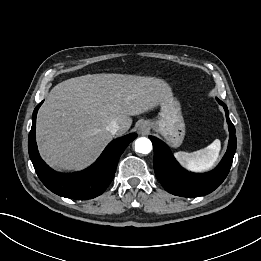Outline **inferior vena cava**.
Returning <instances> with one entry per match:
<instances>
[{
    "mask_svg": "<svg viewBox=\"0 0 261 261\" xmlns=\"http://www.w3.org/2000/svg\"><path fill=\"white\" fill-rule=\"evenodd\" d=\"M106 129L112 135H115L120 130V126L116 121H112L107 125Z\"/></svg>",
    "mask_w": 261,
    "mask_h": 261,
    "instance_id": "602c4592",
    "label": "inferior vena cava"
}]
</instances>
